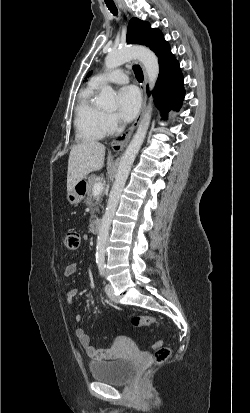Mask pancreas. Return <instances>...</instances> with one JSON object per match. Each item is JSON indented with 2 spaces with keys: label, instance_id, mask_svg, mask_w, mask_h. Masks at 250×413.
Segmentation results:
<instances>
[{
  "label": "pancreas",
  "instance_id": "pancreas-1",
  "mask_svg": "<svg viewBox=\"0 0 250 413\" xmlns=\"http://www.w3.org/2000/svg\"><path fill=\"white\" fill-rule=\"evenodd\" d=\"M97 182H98V178L94 174H92L88 177L87 190H86L87 197H86L85 202H86L87 205L93 207L92 210H91V219L92 220L95 217L94 213L99 211V208L96 207V206L101 203L102 197H103L102 192H100L97 196L94 197L93 186Z\"/></svg>",
  "mask_w": 250,
  "mask_h": 413
}]
</instances>
